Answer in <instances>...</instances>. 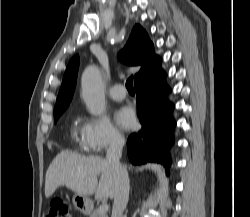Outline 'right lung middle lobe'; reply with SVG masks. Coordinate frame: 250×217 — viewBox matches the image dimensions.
<instances>
[{"mask_svg":"<svg viewBox=\"0 0 250 217\" xmlns=\"http://www.w3.org/2000/svg\"><path fill=\"white\" fill-rule=\"evenodd\" d=\"M62 113H63V111L54 113V121H55V123L57 122L58 118L60 117V115Z\"/></svg>","mask_w":250,"mask_h":217,"instance_id":"dd1d6c3e","label":"right lung middle lobe"}]
</instances>
